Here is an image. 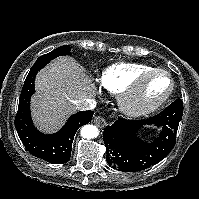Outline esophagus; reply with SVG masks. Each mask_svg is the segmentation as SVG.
Returning <instances> with one entry per match:
<instances>
[{"label":"esophagus","instance_id":"1","mask_svg":"<svg viewBox=\"0 0 199 199\" xmlns=\"http://www.w3.org/2000/svg\"><path fill=\"white\" fill-rule=\"evenodd\" d=\"M94 124L99 128H103L104 126H106L107 121L104 116L97 115L94 117Z\"/></svg>","mask_w":199,"mask_h":199}]
</instances>
